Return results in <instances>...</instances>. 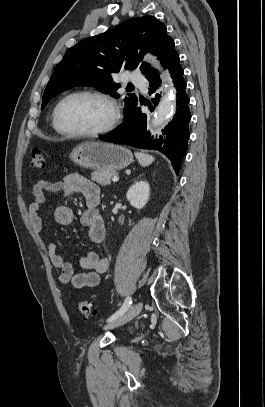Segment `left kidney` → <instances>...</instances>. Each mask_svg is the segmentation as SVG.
<instances>
[{"label": "left kidney", "mask_w": 265, "mask_h": 407, "mask_svg": "<svg viewBox=\"0 0 265 407\" xmlns=\"http://www.w3.org/2000/svg\"><path fill=\"white\" fill-rule=\"evenodd\" d=\"M149 195V184L146 181H139L129 188L126 198L134 208L140 210L147 204Z\"/></svg>", "instance_id": "obj_1"}]
</instances>
